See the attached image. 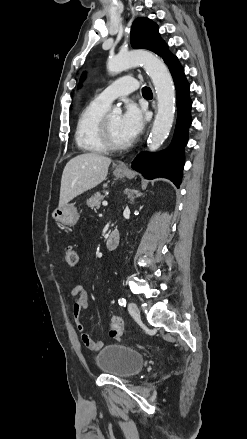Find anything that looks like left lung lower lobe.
<instances>
[{
    "mask_svg": "<svg viewBox=\"0 0 247 439\" xmlns=\"http://www.w3.org/2000/svg\"><path fill=\"white\" fill-rule=\"evenodd\" d=\"M169 69L177 93V123L173 141L169 148L161 153L141 152L134 159L132 168L147 179L157 177L170 179L179 188L184 167V146L188 140V127L192 122L190 113L192 101L189 96L190 85L178 60Z\"/></svg>",
    "mask_w": 247,
    "mask_h": 439,
    "instance_id": "left-lung-lower-lobe-1",
    "label": "left lung lower lobe"
}]
</instances>
